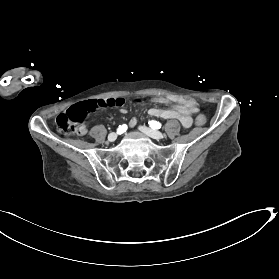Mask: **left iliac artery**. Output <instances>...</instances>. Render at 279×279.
I'll return each instance as SVG.
<instances>
[{
    "label": "left iliac artery",
    "mask_w": 279,
    "mask_h": 279,
    "mask_svg": "<svg viewBox=\"0 0 279 279\" xmlns=\"http://www.w3.org/2000/svg\"><path fill=\"white\" fill-rule=\"evenodd\" d=\"M149 126H150L152 129L155 130V129L161 128L162 124L159 123V122H157V121L152 120V121H149Z\"/></svg>",
    "instance_id": "left-iliac-artery-1"
}]
</instances>
